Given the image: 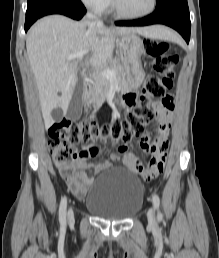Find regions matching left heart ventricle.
<instances>
[{
	"instance_id": "left-heart-ventricle-1",
	"label": "left heart ventricle",
	"mask_w": 219,
	"mask_h": 258,
	"mask_svg": "<svg viewBox=\"0 0 219 258\" xmlns=\"http://www.w3.org/2000/svg\"><path fill=\"white\" fill-rule=\"evenodd\" d=\"M121 9L129 14L142 13L148 10L152 0H117Z\"/></svg>"
}]
</instances>
